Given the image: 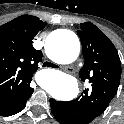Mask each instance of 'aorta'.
I'll list each match as a JSON object with an SVG mask.
<instances>
[{
  "label": "aorta",
  "mask_w": 124,
  "mask_h": 124,
  "mask_svg": "<svg viewBox=\"0 0 124 124\" xmlns=\"http://www.w3.org/2000/svg\"><path fill=\"white\" fill-rule=\"evenodd\" d=\"M47 54L61 64L74 62L80 53V42L77 35L70 30H59L47 41ZM39 85L53 98L69 101L79 93L77 80L58 70H46L39 79Z\"/></svg>",
  "instance_id": "obj_1"
}]
</instances>
